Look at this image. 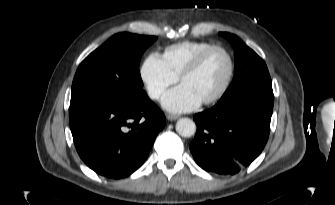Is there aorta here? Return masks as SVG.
Wrapping results in <instances>:
<instances>
[{"mask_svg":"<svg viewBox=\"0 0 335 205\" xmlns=\"http://www.w3.org/2000/svg\"><path fill=\"white\" fill-rule=\"evenodd\" d=\"M176 131L182 137H191L196 132V125L189 118H181L176 123Z\"/></svg>","mask_w":335,"mask_h":205,"instance_id":"762f6f07","label":"aorta"}]
</instances>
